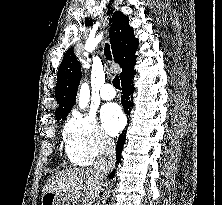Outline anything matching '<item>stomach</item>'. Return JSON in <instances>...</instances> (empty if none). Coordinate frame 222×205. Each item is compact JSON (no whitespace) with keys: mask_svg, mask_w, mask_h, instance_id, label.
<instances>
[{"mask_svg":"<svg viewBox=\"0 0 222 205\" xmlns=\"http://www.w3.org/2000/svg\"><path fill=\"white\" fill-rule=\"evenodd\" d=\"M41 205H67L66 201L60 198L54 192L44 193L42 196V204Z\"/></svg>","mask_w":222,"mask_h":205,"instance_id":"1","label":"stomach"}]
</instances>
